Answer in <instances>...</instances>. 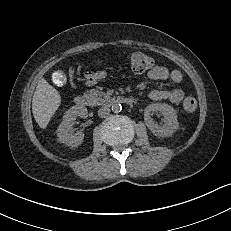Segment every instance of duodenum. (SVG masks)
I'll list each match as a JSON object with an SVG mask.
<instances>
[{
  "instance_id": "410a0bca",
  "label": "duodenum",
  "mask_w": 231,
  "mask_h": 231,
  "mask_svg": "<svg viewBox=\"0 0 231 231\" xmlns=\"http://www.w3.org/2000/svg\"><path fill=\"white\" fill-rule=\"evenodd\" d=\"M74 102L78 107H86L91 104V99L86 95H79L75 97ZM109 102L131 105L135 102V99L129 96H113L110 98Z\"/></svg>"
}]
</instances>
